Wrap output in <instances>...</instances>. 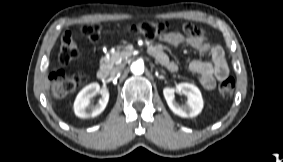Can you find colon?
Instances as JSON below:
<instances>
[{"instance_id": "colon-1", "label": "colon", "mask_w": 283, "mask_h": 162, "mask_svg": "<svg viewBox=\"0 0 283 162\" xmlns=\"http://www.w3.org/2000/svg\"><path fill=\"white\" fill-rule=\"evenodd\" d=\"M168 29L166 22H142L133 24L131 30L146 38L152 39L161 36ZM82 34L90 41H98L101 37L102 27L99 23L85 24ZM78 57V49L71 32L66 31L61 38L58 60L62 65H68ZM81 75L78 73H68L64 70L53 71L49 75V82L52 94L56 98H64L71 94L80 84ZM235 90V80L227 77L219 83L218 91L222 98L228 100L233 96Z\"/></svg>"}]
</instances>
